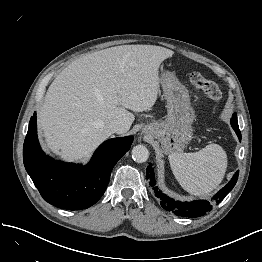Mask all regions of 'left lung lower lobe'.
I'll return each instance as SVG.
<instances>
[{"label": "left lung lower lobe", "mask_w": 262, "mask_h": 262, "mask_svg": "<svg viewBox=\"0 0 262 262\" xmlns=\"http://www.w3.org/2000/svg\"><path fill=\"white\" fill-rule=\"evenodd\" d=\"M231 125L234 131L236 132L239 140L241 141V132L239 130L237 116L233 115L231 118ZM239 171H237L230 182L225 185L219 192H217L211 199L208 200H195L191 202H182L178 200H174L169 196L162 193L159 190L158 186H156L155 172L152 164L150 163L146 170L147 179L149 180V184L152 187L154 194L157 198L160 199V203L163 209L166 211L172 212L177 216L182 217H200L207 212H209L213 204H218L221 202L226 195L233 189L238 179Z\"/></svg>", "instance_id": "left-lung-lower-lobe-1"}]
</instances>
